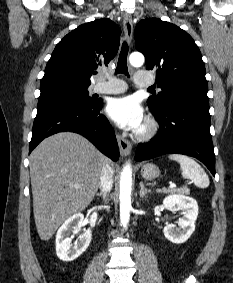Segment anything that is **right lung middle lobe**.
I'll return each instance as SVG.
<instances>
[{"mask_svg": "<svg viewBox=\"0 0 233 283\" xmlns=\"http://www.w3.org/2000/svg\"><path fill=\"white\" fill-rule=\"evenodd\" d=\"M87 88L88 86L80 85L67 80L45 81L41 82L40 84L41 94L39 99L63 97L89 104L97 102V99L89 97Z\"/></svg>", "mask_w": 233, "mask_h": 283, "instance_id": "obj_1", "label": "right lung middle lobe"}]
</instances>
